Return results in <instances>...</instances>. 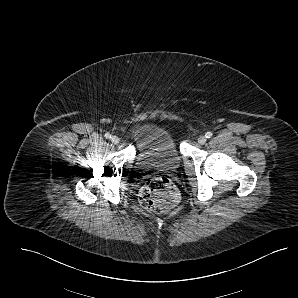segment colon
Segmentation results:
<instances>
[{
  "mask_svg": "<svg viewBox=\"0 0 298 298\" xmlns=\"http://www.w3.org/2000/svg\"><path fill=\"white\" fill-rule=\"evenodd\" d=\"M139 202L150 212L170 211L178 202V193L173 183L165 177L150 179L141 189Z\"/></svg>",
  "mask_w": 298,
  "mask_h": 298,
  "instance_id": "colon-1",
  "label": "colon"
}]
</instances>
